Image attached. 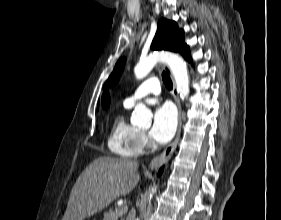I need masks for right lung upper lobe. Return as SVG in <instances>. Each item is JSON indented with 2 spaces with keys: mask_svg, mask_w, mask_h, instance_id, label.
Listing matches in <instances>:
<instances>
[{
  "mask_svg": "<svg viewBox=\"0 0 281 220\" xmlns=\"http://www.w3.org/2000/svg\"><path fill=\"white\" fill-rule=\"evenodd\" d=\"M110 103L109 95L108 93H104L102 97V106L104 109H107Z\"/></svg>",
  "mask_w": 281,
  "mask_h": 220,
  "instance_id": "right-lung-upper-lobe-1",
  "label": "right lung upper lobe"
}]
</instances>
